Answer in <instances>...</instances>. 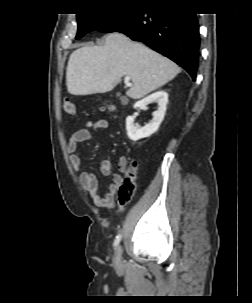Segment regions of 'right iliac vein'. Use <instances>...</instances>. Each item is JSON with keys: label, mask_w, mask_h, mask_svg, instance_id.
Segmentation results:
<instances>
[{"label": "right iliac vein", "mask_w": 252, "mask_h": 303, "mask_svg": "<svg viewBox=\"0 0 252 303\" xmlns=\"http://www.w3.org/2000/svg\"><path fill=\"white\" fill-rule=\"evenodd\" d=\"M122 262V248L121 246H117L115 249V254H114V263L116 265H120Z\"/></svg>", "instance_id": "right-iliac-vein-1"}]
</instances>
